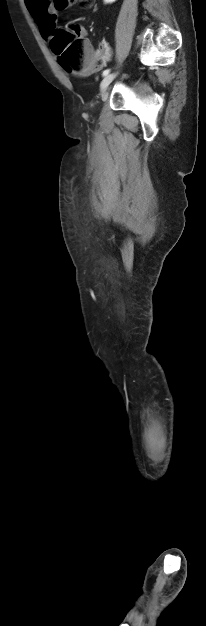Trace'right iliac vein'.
<instances>
[{
	"label": "right iliac vein",
	"instance_id": "right-iliac-vein-1",
	"mask_svg": "<svg viewBox=\"0 0 206 626\" xmlns=\"http://www.w3.org/2000/svg\"><path fill=\"white\" fill-rule=\"evenodd\" d=\"M116 77L115 73L106 75L104 77V79L101 82L100 85V90H101V96L104 97L105 91L108 88V86L110 85V83L114 80V78Z\"/></svg>",
	"mask_w": 206,
	"mask_h": 626
}]
</instances>
